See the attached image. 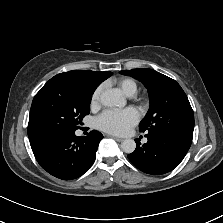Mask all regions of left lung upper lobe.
<instances>
[{"label": "left lung upper lobe", "instance_id": "1", "mask_svg": "<svg viewBox=\"0 0 223 223\" xmlns=\"http://www.w3.org/2000/svg\"><path fill=\"white\" fill-rule=\"evenodd\" d=\"M120 73L134 77L148 89L150 108L139 124L141 132H163L192 140L193 110L175 80L152 69L122 70Z\"/></svg>", "mask_w": 223, "mask_h": 223}]
</instances>
